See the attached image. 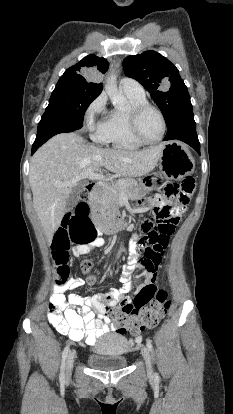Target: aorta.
<instances>
[{
    "label": "aorta",
    "mask_w": 233,
    "mask_h": 414,
    "mask_svg": "<svg viewBox=\"0 0 233 414\" xmlns=\"http://www.w3.org/2000/svg\"><path fill=\"white\" fill-rule=\"evenodd\" d=\"M105 90L112 104L114 105V107L121 108L126 104L125 96L123 95L121 91L118 90L116 75L112 74L107 78V82L105 84Z\"/></svg>",
    "instance_id": "aorta-1"
}]
</instances>
